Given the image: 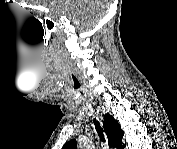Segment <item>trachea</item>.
I'll use <instances>...</instances> for the list:
<instances>
[{
	"label": "trachea",
	"instance_id": "3493384b",
	"mask_svg": "<svg viewBox=\"0 0 177 149\" xmlns=\"http://www.w3.org/2000/svg\"><path fill=\"white\" fill-rule=\"evenodd\" d=\"M93 122H94V125H95V129L98 133V136L100 137V140L102 142H105V139H104V136H103V130H102L99 122L96 120V118H94Z\"/></svg>",
	"mask_w": 177,
	"mask_h": 149
}]
</instances>
